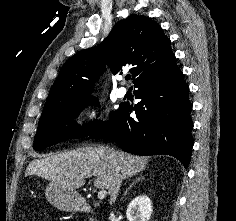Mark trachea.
<instances>
[{
	"label": "trachea",
	"instance_id": "obj_1",
	"mask_svg": "<svg viewBox=\"0 0 236 221\" xmlns=\"http://www.w3.org/2000/svg\"><path fill=\"white\" fill-rule=\"evenodd\" d=\"M125 79H126V80H130V79H131V76H130V75H127V76L125 77Z\"/></svg>",
	"mask_w": 236,
	"mask_h": 221
}]
</instances>
